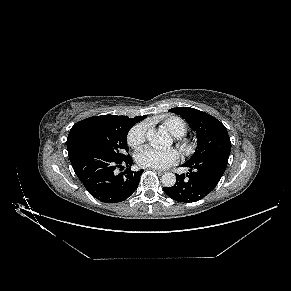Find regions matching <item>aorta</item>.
<instances>
[{
	"instance_id": "aorta-1",
	"label": "aorta",
	"mask_w": 291,
	"mask_h": 291,
	"mask_svg": "<svg viewBox=\"0 0 291 291\" xmlns=\"http://www.w3.org/2000/svg\"><path fill=\"white\" fill-rule=\"evenodd\" d=\"M147 140L152 146H169L172 143V139L165 130L149 129L146 134ZM162 184L165 187H172L176 183V176L173 173H165L162 175Z\"/></svg>"
}]
</instances>
